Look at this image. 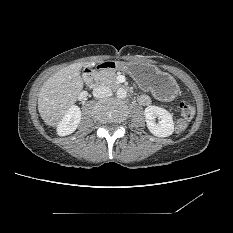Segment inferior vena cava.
Returning <instances> with one entry per match:
<instances>
[{"instance_id": "obj_1", "label": "inferior vena cava", "mask_w": 233, "mask_h": 233, "mask_svg": "<svg viewBox=\"0 0 233 233\" xmlns=\"http://www.w3.org/2000/svg\"><path fill=\"white\" fill-rule=\"evenodd\" d=\"M112 95V91L109 87L100 85L93 89V96L95 98H104Z\"/></svg>"}]
</instances>
